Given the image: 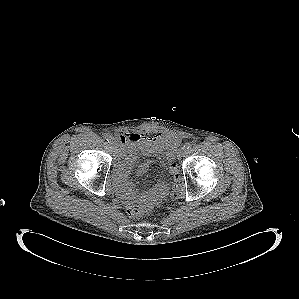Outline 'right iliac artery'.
Listing matches in <instances>:
<instances>
[{"label":"right iliac artery","mask_w":299,"mask_h":299,"mask_svg":"<svg viewBox=\"0 0 299 299\" xmlns=\"http://www.w3.org/2000/svg\"><path fill=\"white\" fill-rule=\"evenodd\" d=\"M105 138H106V140H107L108 142H110V143H111V142L113 141V139H114L111 135H108V134L105 136Z\"/></svg>","instance_id":"82829eb1"}]
</instances>
